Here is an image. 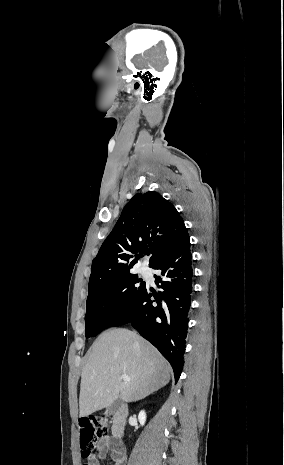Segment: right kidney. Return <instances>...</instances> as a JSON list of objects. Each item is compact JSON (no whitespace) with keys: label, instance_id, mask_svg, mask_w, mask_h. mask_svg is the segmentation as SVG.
Instances as JSON below:
<instances>
[{"label":"right kidney","instance_id":"ca27d5eb","mask_svg":"<svg viewBox=\"0 0 284 465\" xmlns=\"http://www.w3.org/2000/svg\"><path fill=\"white\" fill-rule=\"evenodd\" d=\"M138 421H139L140 425H145L146 413H144V411H140V413L138 415Z\"/></svg>","mask_w":284,"mask_h":465}]
</instances>
